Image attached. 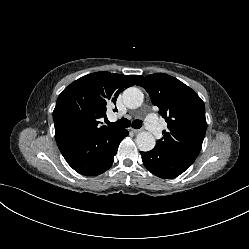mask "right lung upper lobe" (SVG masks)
<instances>
[{
	"mask_svg": "<svg viewBox=\"0 0 249 249\" xmlns=\"http://www.w3.org/2000/svg\"><path fill=\"white\" fill-rule=\"evenodd\" d=\"M141 78L139 75L95 72L71 83L59 95L53 111L55 137L95 136L117 129L100 126L98 120L106 116L107 106L115 104L120 92L137 85Z\"/></svg>",
	"mask_w": 249,
	"mask_h": 249,
	"instance_id": "obj_1",
	"label": "right lung upper lobe"
}]
</instances>
